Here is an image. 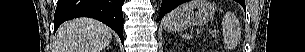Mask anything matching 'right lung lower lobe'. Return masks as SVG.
<instances>
[{"label":"right lung lower lobe","instance_id":"obj_1","mask_svg":"<svg viewBox=\"0 0 305 52\" xmlns=\"http://www.w3.org/2000/svg\"><path fill=\"white\" fill-rule=\"evenodd\" d=\"M123 3L124 0H58L54 16V31L66 20L90 17L112 28L124 44Z\"/></svg>","mask_w":305,"mask_h":52}]
</instances>
